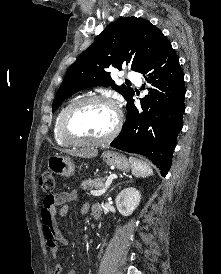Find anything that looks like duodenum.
<instances>
[{"label": "duodenum", "mask_w": 221, "mask_h": 274, "mask_svg": "<svg viewBox=\"0 0 221 274\" xmlns=\"http://www.w3.org/2000/svg\"><path fill=\"white\" fill-rule=\"evenodd\" d=\"M92 214H93V217L96 219V220H99L100 217H101V209L99 206L97 205H94L92 207Z\"/></svg>", "instance_id": "410a0bca"}]
</instances>
